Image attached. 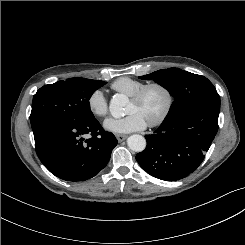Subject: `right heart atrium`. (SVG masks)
Wrapping results in <instances>:
<instances>
[{"mask_svg":"<svg viewBox=\"0 0 245 245\" xmlns=\"http://www.w3.org/2000/svg\"><path fill=\"white\" fill-rule=\"evenodd\" d=\"M87 105L90 112L96 117H104L108 113V102L104 93L97 89L88 97Z\"/></svg>","mask_w":245,"mask_h":245,"instance_id":"obj_1","label":"right heart atrium"}]
</instances>
